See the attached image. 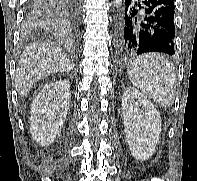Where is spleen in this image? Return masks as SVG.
<instances>
[{"instance_id": "1", "label": "spleen", "mask_w": 197, "mask_h": 181, "mask_svg": "<svg viewBox=\"0 0 197 181\" xmlns=\"http://www.w3.org/2000/svg\"><path fill=\"white\" fill-rule=\"evenodd\" d=\"M134 86L162 106H171L175 98V71L159 53L137 57L128 67Z\"/></svg>"}]
</instances>
